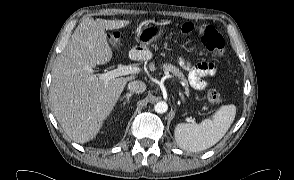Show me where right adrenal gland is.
I'll return each instance as SVG.
<instances>
[{
	"instance_id": "right-adrenal-gland-1",
	"label": "right adrenal gland",
	"mask_w": 294,
	"mask_h": 180,
	"mask_svg": "<svg viewBox=\"0 0 294 180\" xmlns=\"http://www.w3.org/2000/svg\"><path fill=\"white\" fill-rule=\"evenodd\" d=\"M132 95H133L132 92H128V93H126V95H124V96L120 99V101H123V100H124L123 104L129 103V102H130V98L132 97Z\"/></svg>"
}]
</instances>
